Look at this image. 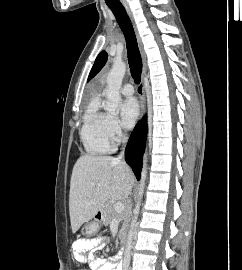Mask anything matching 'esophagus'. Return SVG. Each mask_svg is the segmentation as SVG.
Here are the masks:
<instances>
[{
    "instance_id": "34e87169",
    "label": "esophagus",
    "mask_w": 242,
    "mask_h": 270,
    "mask_svg": "<svg viewBox=\"0 0 242 270\" xmlns=\"http://www.w3.org/2000/svg\"><path fill=\"white\" fill-rule=\"evenodd\" d=\"M124 7H125V9H126L127 14L129 15L130 19H131L132 22H133L132 12H131L129 6L125 4ZM133 26H134V30H135V32H136V37H137L139 46H141L140 37H139V35H138L137 28H136V25L134 24V22H133ZM146 73H147V65H146V60H145V58L143 57L142 77H141V81H140V83H139V85H138V88H137V92H138V95H139V97H140V102H141V116L143 115L144 109H145L144 79H145Z\"/></svg>"
}]
</instances>
